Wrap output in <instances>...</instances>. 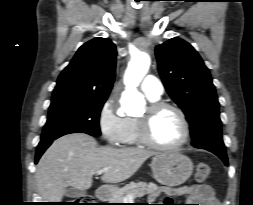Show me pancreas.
Instances as JSON below:
<instances>
[{
	"label": "pancreas",
	"mask_w": 253,
	"mask_h": 205,
	"mask_svg": "<svg viewBox=\"0 0 253 205\" xmlns=\"http://www.w3.org/2000/svg\"><path fill=\"white\" fill-rule=\"evenodd\" d=\"M128 195H133V198L148 195V199L154 201L160 195V191L158 186L152 182H131L114 191L109 199L110 203H125V197Z\"/></svg>",
	"instance_id": "pancreas-1"
}]
</instances>
